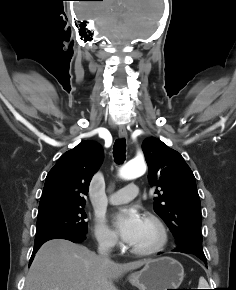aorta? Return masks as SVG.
Listing matches in <instances>:
<instances>
[{
    "label": "aorta",
    "mask_w": 236,
    "mask_h": 290,
    "mask_svg": "<svg viewBox=\"0 0 236 290\" xmlns=\"http://www.w3.org/2000/svg\"><path fill=\"white\" fill-rule=\"evenodd\" d=\"M146 172V165L143 160H131L119 170V177L124 180H132L142 176Z\"/></svg>",
    "instance_id": "obj_1"
}]
</instances>
